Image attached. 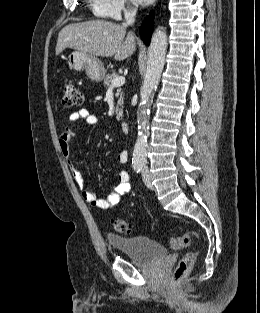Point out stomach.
Listing matches in <instances>:
<instances>
[{"instance_id":"obj_1","label":"stomach","mask_w":260,"mask_h":313,"mask_svg":"<svg viewBox=\"0 0 260 313\" xmlns=\"http://www.w3.org/2000/svg\"><path fill=\"white\" fill-rule=\"evenodd\" d=\"M68 64L76 71L85 70L87 76L95 82L102 81L106 72L104 65L97 57L82 51H74L69 54Z\"/></svg>"}]
</instances>
